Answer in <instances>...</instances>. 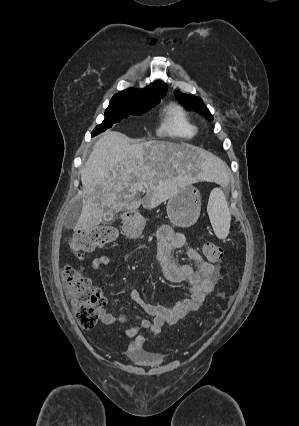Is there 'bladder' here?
I'll list each match as a JSON object with an SVG mask.
<instances>
[{"label": "bladder", "mask_w": 299, "mask_h": 426, "mask_svg": "<svg viewBox=\"0 0 299 426\" xmlns=\"http://www.w3.org/2000/svg\"><path fill=\"white\" fill-rule=\"evenodd\" d=\"M158 361V360H157ZM157 361H146V362H151V363H154V362H157Z\"/></svg>", "instance_id": "obj_1"}]
</instances>
